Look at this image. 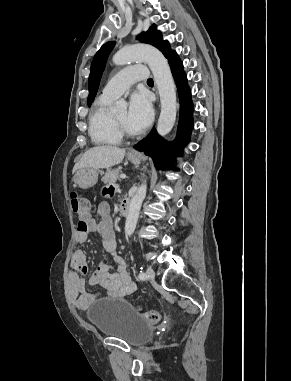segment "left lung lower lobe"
Returning <instances> with one entry per match:
<instances>
[{"label":"left lung lower lobe","mask_w":291,"mask_h":381,"mask_svg":"<svg viewBox=\"0 0 291 381\" xmlns=\"http://www.w3.org/2000/svg\"><path fill=\"white\" fill-rule=\"evenodd\" d=\"M173 77L176 81L179 99L180 115L177 129V138L173 142H166L153 129L148 136L140 141L134 148L150 156L157 169L170 168L174 157L182 153V148L189 141L193 128V104L191 93L187 85V78L183 71V64L176 52L168 58Z\"/></svg>","instance_id":"left-lung-lower-lobe-1"}]
</instances>
